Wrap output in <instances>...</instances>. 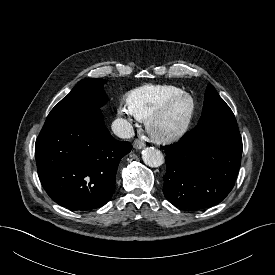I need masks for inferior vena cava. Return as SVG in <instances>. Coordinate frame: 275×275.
<instances>
[{
  "mask_svg": "<svg viewBox=\"0 0 275 275\" xmlns=\"http://www.w3.org/2000/svg\"><path fill=\"white\" fill-rule=\"evenodd\" d=\"M111 127L114 134L119 138H132L134 136L133 126L123 118L115 119Z\"/></svg>",
  "mask_w": 275,
  "mask_h": 275,
  "instance_id": "inferior-vena-cava-1",
  "label": "inferior vena cava"
}]
</instances>
